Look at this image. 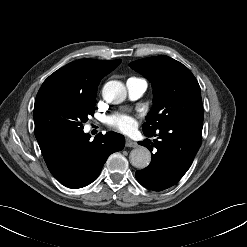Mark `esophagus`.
Wrapping results in <instances>:
<instances>
[{
	"label": "esophagus",
	"instance_id": "esophagus-1",
	"mask_svg": "<svg viewBox=\"0 0 247 247\" xmlns=\"http://www.w3.org/2000/svg\"><path fill=\"white\" fill-rule=\"evenodd\" d=\"M126 146L131 148H136L138 144L130 138H126Z\"/></svg>",
	"mask_w": 247,
	"mask_h": 247
}]
</instances>
